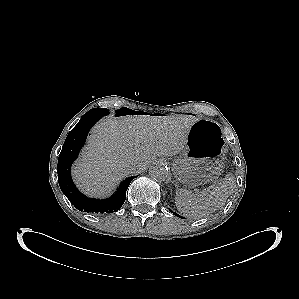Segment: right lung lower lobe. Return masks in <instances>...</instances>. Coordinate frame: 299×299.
<instances>
[{
	"label": "right lung lower lobe",
	"mask_w": 299,
	"mask_h": 299,
	"mask_svg": "<svg viewBox=\"0 0 299 299\" xmlns=\"http://www.w3.org/2000/svg\"><path fill=\"white\" fill-rule=\"evenodd\" d=\"M100 115L81 117L78 124L69 132L58 159V181L62 192L80 211L92 213H112L118 211L126 199L130 182L137 176L125 179L116 193L105 200H96L84 196L74 185L70 168L86 141L90 128L101 118Z\"/></svg>",
	"instance_id": "right-lung-lower-lobe-1"
}]
</instances>
